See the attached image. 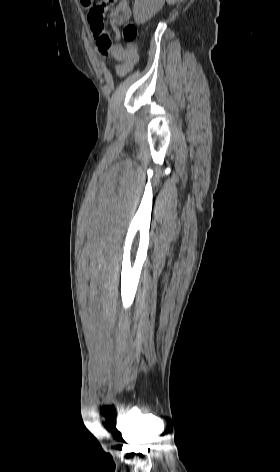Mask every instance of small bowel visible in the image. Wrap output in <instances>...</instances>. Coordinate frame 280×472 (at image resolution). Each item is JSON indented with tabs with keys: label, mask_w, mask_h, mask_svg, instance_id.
I'll list each match as a JSON object with an SVG mask.
<instances>
[{
	"label": "small bowel",
	"mask_w": 280,
	"mask_h": 472,
	"mask_svg": "<svg viewBox=\"0 0 280 472\" xmlns=\"http://www.w3.org/2000/svg\"><path fill=\"white\" fill-rule=\"evenodd\" d=\"M81 3L84 7H88L83 0H81ZM130 18L131 7L129 0H119L110 14L114 39L108 34L104 24L96 25L89 22L95 46L99 54L103 57L111 55L117 62H119V65L116 68V74L119 77L127 75L137 61L135 50L130 51L127 47L117 42L120 37V32L117 27L128 22Z\"/></svg>",
	"instance_id": "1"
}]
</instances>
